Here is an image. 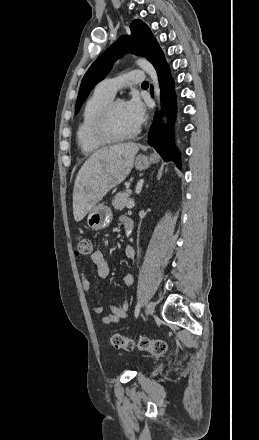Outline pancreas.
Here are the masks:
<instances>
[{
  "label": "pancreas",
  "mask_w": 259,
  "mask_h": 440,
  "mask_svg": "<svg viewBox=\"0 0 259 440\" xmlns=\"http://www.w3.org/2000/svg\"><path fill=\"white\" fill-rule=\"evenodd\" d=\"M132 194V191L130 189H126L124 191L119 192L113 199L112 205L117 210H123L129 199V196Z\"/></svg>",
  "instance_id": "cf45deb5"
}]
</instances>
